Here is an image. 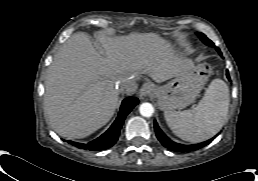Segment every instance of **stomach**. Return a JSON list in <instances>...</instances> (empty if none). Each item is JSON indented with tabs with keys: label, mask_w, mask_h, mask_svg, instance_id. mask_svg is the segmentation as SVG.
<instances>
[{
	"label": "stomach",
	"mask_w": 258,
	"mask_h": 181,
	"mask_svg": "<svg viewBox=\"0 0 258 181\" xmlns=\"http://www.w3.org/2000/svg\"><path fill=\"white\" fill-rule=\"evenodd\" d=\"M210 74V66L200 64L184 76H178L165 85L154 86V96L159 108L166 112L192 104L204 88Z\"/></svg>",
	"instance_id": "stomach-1"
}]
</instances>
